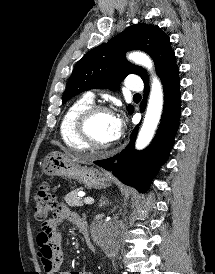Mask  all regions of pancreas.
I'll return each instance as SVG.
<instances>
[{
	"label": "pancreas",
	"instance_id": "pancreas-1",
	"mask_svg": "<svg viewBox=\"0 0 215 274\" xmlns=\"http://www.w3.org/2000/svg\"><path fill=\"white\" fill-rule=\"evenodd\" d=\"M82 190V188L75 189L68 193L64 200L71 207H80L83 205L81 198L78 196V193Z\"/></svg>",
	"mask_w": 215,
	"mask_h": 274
}]
</instances>
